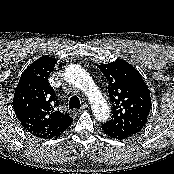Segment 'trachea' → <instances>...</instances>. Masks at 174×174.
<instances>
[{"mask_svg": "<svg viewBox=\"0 0 174 174\" xmlns=\"http://www.w3.org/2000/svg\"><path fill=\"white\" fill-rule=\"evenodd\" d=\"M80 107H81V103L79 98L76 95L72 96L69 101V109H74V108L79 109Z\"/></svg>", "mask_w": 174, "mask_h": 174, "instance_id": "obj_1", "label": "trachea"}]
</instances>
